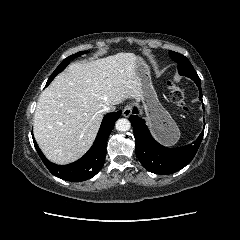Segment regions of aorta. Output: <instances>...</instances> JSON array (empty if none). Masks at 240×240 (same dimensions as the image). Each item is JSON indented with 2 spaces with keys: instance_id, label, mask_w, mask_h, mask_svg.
Instances as JSON below:
<instances>
[{
  "instance_id": "1",
  "label": "aorta",
  "mask_w": 240,
  "mask_h": 240,
  "mask_svg": "<svg viewBox=\"0 0 240 240\" xmlns=\"http://www.w3.org/2000/svg\"><path fill=\"white\" fill-rule=\"evenodd\" d=\"M115 127L116 130L119 132H126L130 129L131 124L128 119L121 118L116 121Z\"/></svg>"
}]
</instances>
